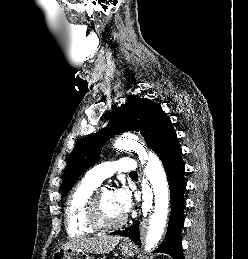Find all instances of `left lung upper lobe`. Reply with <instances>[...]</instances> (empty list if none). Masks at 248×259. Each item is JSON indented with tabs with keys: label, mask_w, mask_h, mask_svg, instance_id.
<instances>
[{
	"label": "left lung upper lobe",
	"mask_w": 248,
	"mask_h": 259,
	"mask_svg": "<svg viewBox=\"0 0 248 259\" xmlns=\"http://www.w3.org/2000/svg\"><path fill=\"white\" fill-rule=\"evenodd\" d=\"M125 131H140L156 153L178 140L169 117L159 104L147 98L132 96L115 111L106 128L83 138L75 146L63 175V196L78 177L98 161L103 144L114 134Z\"/></svg>",
	"instance_id": "5c2ea615"
}]
</instances>
